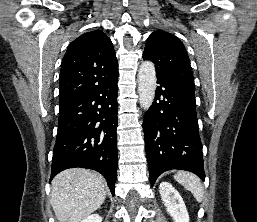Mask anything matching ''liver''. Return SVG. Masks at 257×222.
I'll return each instance as SVG.
<instances>
[{
    "label": "liver",
    "instance_id": "obj_1",
    "mask_svg": "<svg viewBox=\"0 0 257 222\" xmlns=\"http://www.w3.org/2000/svg\"><path fill=\"white\" fill-rule=\"evenodd\" d=\"M51 200L59 222H81L96 211L107 195L104 178L87 169H67L52 181Z\"/></svg>",
    "mask_w": 257,
    "mask_h": 222
}]
</instances>
